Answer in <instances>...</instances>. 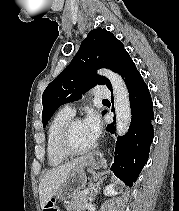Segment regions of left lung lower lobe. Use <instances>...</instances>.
<instances>
[{"mask_svg": "<svg viewBox=\"0 0 179 211\" xmlns=\"http://www.w3.org/2000/svg\"><path fill=\"white\" fill-rule=\"evenodd\" d=\"M118 73L128 88L132 120L125 136L117 138L110 170L126 185L132 186L149 157L153 141V104L149 89L129 55L122 61ZM109 89L112 91V87ZM106 129L111 133L115 131L113 124Z\"/></svg>", "mask_w": 179, "mask_h": 211, "instance_id": "left-lung-lower-lobe-1", "label": "left lung lower lobe"}]
</instances>
